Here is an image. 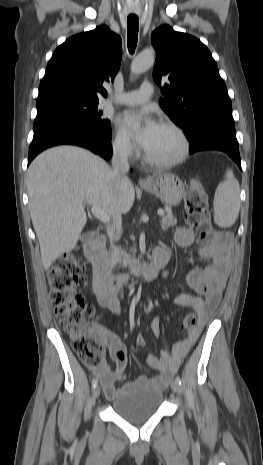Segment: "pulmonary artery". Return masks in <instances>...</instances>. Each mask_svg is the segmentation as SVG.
<instances>
[{
  "instance_id": "pulmonary-artery-1",
  "label": "pulmonary artery",
  "mask_w": 263,
  "mask_h": 465,
  "mask_svg": "<svg viewBox=\"0 0 263 465\" xmlns=\"http://www.w3.org/2000/svg\"><path fill=\"white\" fill-rule=\"evenodd\" d=\"M153 92V84L144 82L138 90L112 96L109 102L121 105H138L146 102L152 96Z\"/></svg>"
}]
</instances>
